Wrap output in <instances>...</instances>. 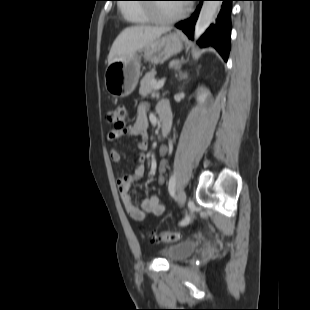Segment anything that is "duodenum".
<instances>
[{
	"mask_svg": "<svg viewBox=\"0 0 310 310\" xmlns=\"http://www.w3.org/2000/svg\"><path fill=\"white\" fill-rule=\"evenodd\" d=\"M160 121L162 124V135L167 136L171 128V115L168 111L159 112Z\"/></svg>",
	"mask_w": 310,
	"mask_h": 310,
	"instance_id": "obj_1",
	"label": "duodenum"
}]
</instances>
